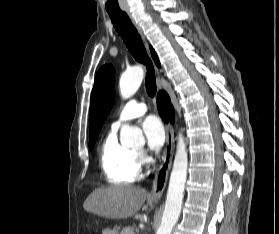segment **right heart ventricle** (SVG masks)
<instances>
[{"instance_id": "obj_1", "label": "right heart ventricle", "mask_w": 279, "mask_h": 234, "mask_svg": "<svg viewBox=\"0 0 279 234\" xmlns=\"http://www.w3.org/2000/svg\"><path fill=\"white\" fill-rule=\"evenodd\" d=\"M100 164L110 184L123 186L139 178L137 153L120 144L115 130H112L103 141L100 149Z\"/></svg>"}]
</instances>
